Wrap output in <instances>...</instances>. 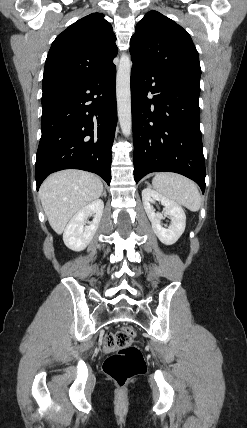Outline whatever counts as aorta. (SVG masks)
<instances>
[{"mask_svg": "<svg viewBox=\"0 0 247 428\" xmlns=\"http://www.w3.org/2000/svg\"><path fill=\"white\" fill-rule=\"evenodd\" d=\"M131 66L132 63L129 55H122L117 71L116 94L120 127L126 137L131 134L132 128L130 91Z\"/></svg>", "mask_w": 247, "mask_h": 428, "instance_id": "obj_1", "label": "aorta"}]
</instances>
